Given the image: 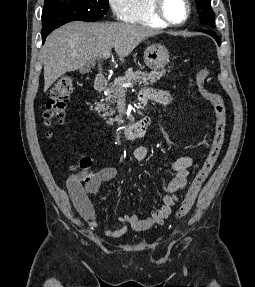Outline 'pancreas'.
<instances>
[{"mask_svg":"<svg viewBox=\"0 0 255 287\" xmlns=\"http://www.w3.org/2000/svg\"><path fill=\"white\" fill-rule=\"evenodd\" d=\"M166 74V70H153V72H140V70H136L133 72V68H128L127 72H124V76H119V78H115L112 84H109V88L106 90V98H104L101 104H98L96 108V112L100 114V112H104L102 114L104 116H113L114 110L110 108L114 102L117 100V96L119 92H125V88H122L121 84H128V82H133V84H145V86H149L150 82H156V80H160L161 76ZM106 110H110V112H106ZM114 122H118V124H122L123 120L116 116L115 120L110 118L107 124H114Z\"/></svg>","mask_w":255,"mask_h":287,"instance_id":"pancreas-1","label":"pancreas"}]
</instances>
